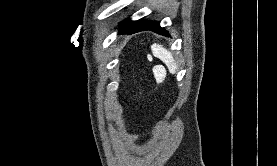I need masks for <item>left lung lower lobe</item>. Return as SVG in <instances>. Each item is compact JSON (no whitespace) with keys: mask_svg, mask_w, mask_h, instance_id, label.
Masks as SVG:
<instances>
[{"mask_svg":"<svg viewBox=\"0 0 277 166\" xmlns=\"http://www.w3.org/2000/svg\"><path fill=\"white\" fill-rule=\"evenodd\" d=\"M144 30H151L155 33L169 36L167 31L164 28H161L159 26L158 22L145 21V20H138L134 22H131L128 20L124 21L120 25L119 34H124V33L132 34V33L144 31Z\"/></svg>","mask_w":277,"mask_h":166,"instance_id":"0a47b994","label":"left lung lower lobe"}]
</instances>
